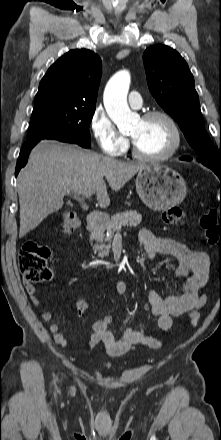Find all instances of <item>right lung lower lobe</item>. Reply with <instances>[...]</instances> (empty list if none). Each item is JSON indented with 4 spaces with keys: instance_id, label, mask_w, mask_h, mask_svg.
Segmentation results:
<instances>
[{
    "instance_id": "right-lung-lower-lobe-1",
    "label": "right lung lower lobe",
    "mask_w": 221,
    "mask_h": 440,
    "mask_svg": "<svg viewBox=\"0 0 221 440\" xmlns=\"http://www.w3.org/2000/svg\"><path fill=\"white\" fill-rule=\"evenodd\" d=\"M42 140H45V139L27 140V141L23 144V146H22V148H21V151H20V154H19V157H18V160H17V164H16V169H15V175H16V176L18 175L20 169L26 165L27 160H28V156H29V153H30L31 149H32V148H33L38 142H40V141H42ZM55 140H58V141H61V142L75 143V142L70 141V140H68V139H55ZM75 144H76V143H75Z\"/></svg>"
}]
</instances>
